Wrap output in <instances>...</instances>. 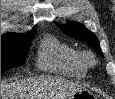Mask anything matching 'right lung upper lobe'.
I'll return each instance as SVG.
<instances>
[{
  "mask_svg": "<svg viewBox=\"0 0 115 99\" xmlns=\"http://www.w3.org/2000/svg\"><path fill=\"white\" fill-rule=\"evenodd\" d=\"M33 33H35V27L31 31L27 32L26 34L7 33L1 37L24 36V35H29V34H33Z\"/></svg>",
  "mask_w": 115,
  "mask_h": 99,
  "instance_id": "1",
  "label": "right lung upper lobe"
}]
</instances>
